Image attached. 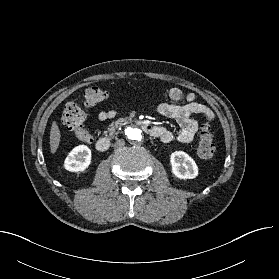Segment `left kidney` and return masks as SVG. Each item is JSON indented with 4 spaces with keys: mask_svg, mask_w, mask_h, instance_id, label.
Instances as JSON below:
<instances>
[{
    "mask_svg": "<svg viewBox=\"0 0 279 279\" xmlns=\"http://www.w3.org/2000/svg\"><path fill=\"white\" fill-rule=\"evenodd\" d=\"M172 173L179 179H193L198 175L195 161L183 151H175L170 155Z\"/></svg>",
    "mask_w": 279,
    "mask_h": 279,
    "instance_id": "1",
    "label": "left kidney"
}]
</instances>
